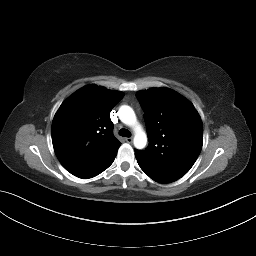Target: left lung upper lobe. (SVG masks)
<instances>
[{
	"label": "left lung upper lobe",
	"instance_id": "left-lung-upper-lobe-1",
	"mask_svg": "<svg viewBox=\"0 0 256 256\" xmlns=\"http://www.w3.org/2000/svg\"><path fill=\"white\" fill-rule=\"evenodd\" d=\"M149 145L136 157L151 173L179 179L196 161L203 144V125L194 106L167 88L139 91Z\"/></svg>",
	"mask_w": 256,
	"mask_h": 256
}]
</instances>
